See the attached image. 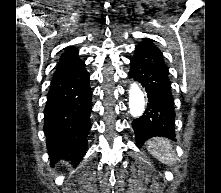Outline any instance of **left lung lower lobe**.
Masks as SVG:
<instances>
[{"instance_id": "obj_1", "label": "left lung lower lobe", "mask_w": 221, "mask_h": 193, "mask_svg": "<svg viewBox=\"0 0 221 193\" xmlns=\"http://www.w3.org/2000/svg\"><path fill=\"white\" fill-rule=\"evenodd\" d=\"M130 65L129 77L145 88L148 97L145 112L132 123L137 146L140 147L153 136H165L174 140V99L162 52L154 44L144 40L136 46Z\"/></svg>"}]
</instances>
